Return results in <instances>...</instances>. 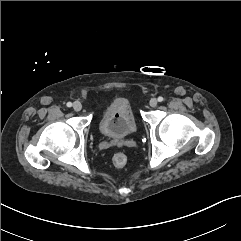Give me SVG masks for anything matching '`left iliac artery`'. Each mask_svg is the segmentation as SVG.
I'll list each match as a JSON object with an SVG mask.
<instances>
[{
    "mask_svg": "<svg viewBox=\"0 0 241 241\" xmlns=\"http://www.w3.org/2000/svg\"><path fill=\"white\" fill-rule=\"evenodd\" d=\"M163 100H164L163 97H161V96L158 97L159 102H162Z\"/></svg>",
    "mask_w": 241,
    "mask_h": 241,
    "instance_id": "1",
    "label": "left iliac artery"
}]
</instances>
